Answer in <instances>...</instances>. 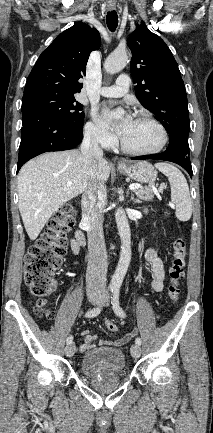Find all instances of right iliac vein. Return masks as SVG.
Listing matches in <instances>:
<instances>
[{"mask_svg": "<svg viewBox=\"0 0 213 433\" xmlns=\"http://www.w3.org/2000/svg\"><path fill=\"white\" fill-rule=\"evenodd\" d=\"M89 301L92 304H98L101 300V296L97 293H92L88 296ZM76 350L75 344L74 343H70L65 347V354L67 357H71L74 355Z\"/></svg>", "mask_w": 213, "mask_h": 433, "instance_id": "right-iliac-vein-1", "label": "right iliac vein"}]
</instances>
